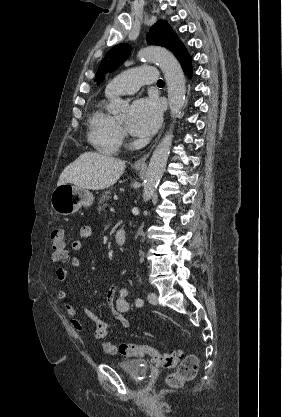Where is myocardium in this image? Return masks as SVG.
I'll return each mask as SVG.
<instances>
[{
    "instance_id": "f54148a6",
    "label": "myocardium",
    "mask_w": 282,
    "mask_h": 417,
    "mask_svg": "<svg viewBox=\"0 0 282 417\" xmlns=\"http://www.w3.org/2000/svg\"><path fill=\"white\" fill-rule=\"evenodd\" d=\"M114 123H115V127H116V129H117L120 133H123V132H124V127H123V125H122V124H120V123H118V122L116 121V119H114Z\"/></svg>"
}]
</instances>
